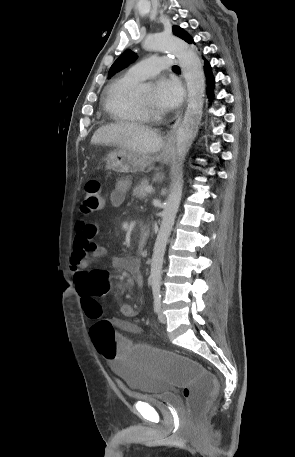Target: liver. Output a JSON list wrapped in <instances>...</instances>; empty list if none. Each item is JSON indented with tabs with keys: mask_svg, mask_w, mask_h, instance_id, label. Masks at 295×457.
<instances>
[{
	"mask_svg": "<svg viewBox=\"0 0 295 457\" xmlns=\"http://www.w3.org/2000/svg\"><path fill=\"white\" fill-rule=\"evenodd\" d=\"M91 144L116 146L139 155H148L160 151L164 141L152 128L137 123L118 122L97 129Z\"/></svg>",
	"mask_w": 295,
	"mask_h": 457,
	"instance_id": "1",
	"label": "liver"
}]
</instances>
